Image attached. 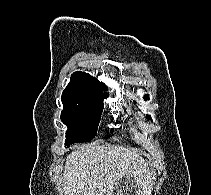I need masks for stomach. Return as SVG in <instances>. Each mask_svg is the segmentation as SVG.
Returning a JSON list of instances; mask_svg holds the SVG:
<instances>
[{"label":"stomach","instance_id":"0dacf381","mask_svg":"<svg viewBox=\"0 0 211 195\" xmlns=\"http://www.w3.org/2000/svg\"><path fill=\"white\" fill-rule=\"evenodd\" d=\"M128 185H133V187H136V185L134 184V182L131 181L129 178H123V179H121L120 181H118L116 183V186L117 187H120V188H123V187L128 186ZM136 191H137V189H136ZM120 195H123V194H120Z\"/></svg>","mask_w":211,"mask_h":195}]
</instances>
